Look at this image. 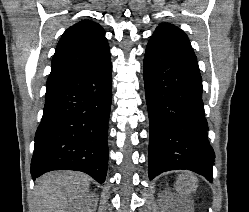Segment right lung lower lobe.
Returning a JSON list of instances; mask_svg holds the SVG:
<instances>
[{
	"instance_id": "right-lung-lower-lobe-1",
	"label": "right lung lower lobe",
	"mask_w": 249,
	"mask_h": 212,
	"mask_svg": "<svg viewBox=\"0 0 249 212\" xmlns=\"http://www.w3.org/2000/svg\"><path fill=\"white\" fill-rule=\"evenodd\" d=\"M110 56L82 72L48 82L36 131L31 174L76 170L105 181L112 100Z\"/></svg>"
}]
</instances>
